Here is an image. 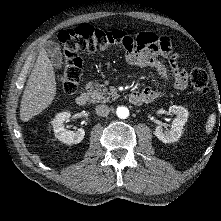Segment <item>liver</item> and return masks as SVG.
<instances>
[{
	"label": "liver",
	"instance_id": "liver-1",
	"mask_svg": "<svg viewBox=\"0 0 221 221\" xmlns=\"http://www.w3.org/2000/svg\"><path fill=\"white\" fill-rule=\"evenodd\" d=\"M56 90L53 64L42 47L23 92L20 119L27 122L45 110L54 100Z\"/></svg>",
	"mask_w": 221,
	"mask_h": 221
}]
</instances>
